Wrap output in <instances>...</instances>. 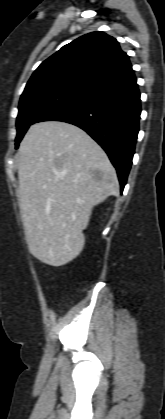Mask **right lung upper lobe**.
I'll return each mask as SVG.
<instances>
[{"label": "right lung upper lobe", "instance_id": "cb5924a9", "mask_svg": "<svg viewBox=\"0 0 165 419\" xmlns=\"http://www.w3.org/2000/svg\"><path fill=\"white\" fill-rule=\"evenodd\" d=\"M131 71L129 57L118 41L104 32H92L63 46L42 62L23 94L53 86L90 93Z\"/></svg>", "mask_w": 165, "mask_h": 419}]
</instances>
